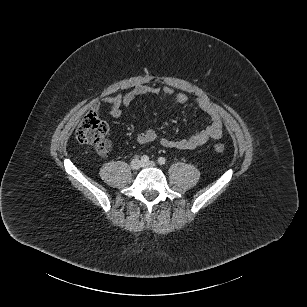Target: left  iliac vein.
<instances>
[{
  "instance_id": "4c4485c4",
  "label": "left iliac vein",
  "mask_w": 307,
  "mask_h": 307,
  "mask_svg": "<svg viewBox=\"0 0 307 307\" xmlns=\"http://www.w3.org/2000/svg\"><path fill=\"white\" fill-rule=\"evenodd\" d=\"M156 163L154 161H149L142 164V167H154Z\"/></svg>"
}]
</instances>
